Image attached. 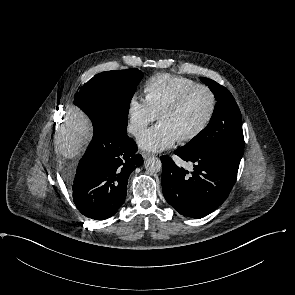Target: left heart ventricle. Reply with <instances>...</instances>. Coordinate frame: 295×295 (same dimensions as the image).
<instances>
[{
  "label": "left heart ventricle",
  "mask_w": 295,
  "mask_h": 295,
  "mask_svg": "<svg viewBox=\"0 0 295 295\" xmlns=\"http://www.w3.org/2000/svg\"><path fill=\"white\" fill-rule=\"evenodd\" d=\"M210 109V97L204 90H196L183 107L161 118L181 138L192 133L204 121Z\"/></svg>",
  "instance_id": "1"
}]
</instances>
